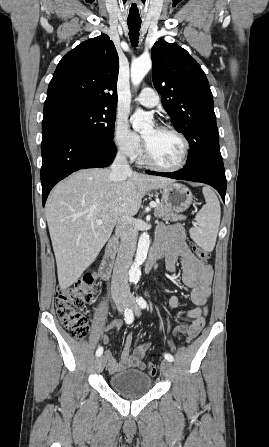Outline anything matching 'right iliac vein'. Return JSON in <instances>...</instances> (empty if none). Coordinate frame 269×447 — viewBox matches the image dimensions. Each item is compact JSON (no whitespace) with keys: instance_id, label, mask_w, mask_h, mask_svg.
<instances>
[{"instance_id":"obj_1","label":"right iliac vein","mask_w":269,"mask_h":447,"mask_svg":"<svg viewBox=\"0 0 269 447\" xmlns=\"http://www.w3.org/2000/svg\"><path fill=\"white\" fill-rule=\"evenodd\" d=\"M127 306V302L119 300L116 302V307L120 312H123ZM106 364V357L100 356L96 360V369L98 372H101Z\"/></svg>"}]
</instances>
